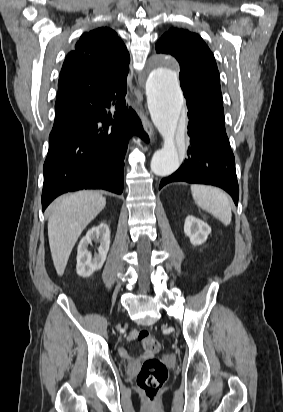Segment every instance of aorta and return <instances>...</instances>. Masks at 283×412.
<instances>
[{
  "label": "aorta",
  "mask_w": 283,
  "mask_h": 412,
  "mask_svg": "<svg viewBox=\"0 0 283 412\" xmlns=\"http://www.w3.org/2000/svg\"><path fill=\"white\" fill-rule=\"evenodd\" d=\"M146 95L151 119L164 143L151 160V170L157 176H169L180 165L176 142L184 105L183 94L175 69L166 58L159 59L146 80Z\"/></svg>",
  "instance_id": "obj_1"
}]
</instances>
